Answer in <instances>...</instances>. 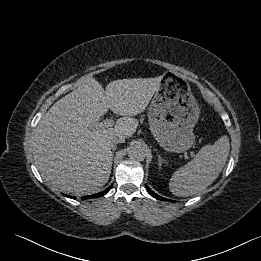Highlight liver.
I'll list each match as a JSON object with an SVG mask.
<instances>
[{
  "label": "liver",
  "instance_id": "6515ba94",
  "mask_svg": "<svg viewBox=\"0 0 261 261\" xmlns=\"http://www.w3.org/2000/svg\"><path fill=\"white\" fill-rule=\"evenodd\" d=\"M155 78L120 79L106 90L91 75L59 99L39 121L33 135V156L42 178L66 192H97L109 180L113 153L111 137L130 138L138 120L159 87ZM111 109L124 116L112 128L94 124Z\"/></svg>",
  "mask_w": 261,
  "mask_h": 261
}]
</instances>
